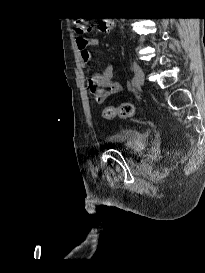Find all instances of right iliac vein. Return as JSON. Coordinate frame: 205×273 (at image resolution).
Returning a JSON list of instances; mask_svg holds the SVG:
<instances>
[{"mask_svg": "<svg viewBox=\"0 0 205 273\" xmlns=\"http://www.w3.org/2000/svg\"><path fill=\"white\" fill-rule=\"evenodd\" d=\"M133 70H134L137 85L143 86L145 78H144V73L142 68L136 62H133Z\"/></svg>", "mask_w": 205, "mask_h": 273, "instance_id": "obj_1", "label": "right iliac vein"}]
</instances>
